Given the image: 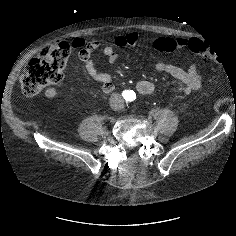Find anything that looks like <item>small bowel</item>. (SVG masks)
Wrapping results in <instances>:
<instances>
[{
    "label": "small bowel",
    "instance_id": "1",
    "mask_svg": "<svg viewBox=\"0 0 236 236\" xmlns=\"http://www.w3.org/2000/svg\"><path fill=\"white\" fill-rule=\"evenodd\" d=\"M198 38H178L174 40L176 47H189L190 42ZM140 40L138 33L132 32L127 35H119L114 40L113 46H105L101 49V54L108 58L111 64H116L120 58L118 52L119 48L126 46H133ZM202 41V40H200ZM74 48L80 49L78 53V60L84 65L87 75L102 84V91L104 93H111L115 86L112 76L107 73L99 71L93 60L94 54L98 51L100 43L97 40L86 41L82 38H75L72 41ZM153 70L159 73H165L180 82L178 92L183 95H188L201 88L203 83V76L198 71L197 64H191L187 70L182 69L173 64L165 62H157L153 65ZM136 89L140 94L148 95L155 91L156 86L154 83L141 80L136 84ZM57 95L55 87H49L45 91L47 98H54Z\"/></svg>",
    "mask_w": 236,
    "mask_h": 236
}]
</instances>
